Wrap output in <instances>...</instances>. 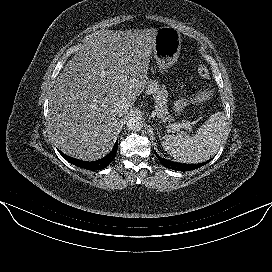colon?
Here are the masks:
<instances>
[{"mask_svg":"<svg viewBox=\"0 0 272 272\" xmlns=\"http://www.w3.org/2000/svg\"><path fill=\"white\" fill-rule=\"evenodd\" d=\"M198 72L203 78L209 77V71L204 65L199 66ZM212 92V87L209 85L203 91H200L196 94L179 97L171 105L172 113L175 116L184 115L185 110L188 106L207 100L211 97Z\"/></svg>","mask_w":272,"mask_h":272,"instance_id":"colon-1","label":"colon"}]
</instances>
